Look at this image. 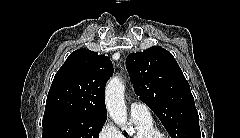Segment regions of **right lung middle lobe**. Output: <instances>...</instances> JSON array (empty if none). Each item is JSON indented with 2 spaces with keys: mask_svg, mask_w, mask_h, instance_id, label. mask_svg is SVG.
<instances>
[{
  "mask_svg": "<svg viewBox=\"0 0 240 138\" xmlns=\"http://www.w3.org/2000/svg\"><path fill=\"white\" fill-rule=\"evenodd\" d=\"M105 121L68 113L44 116L42 138H99Z\"/></svg>",
  "mask_w": 240,
  "mask_h": 138,
  "instance_id": "1",
  "label": "right lung middle lobe"
}]
</instances>
